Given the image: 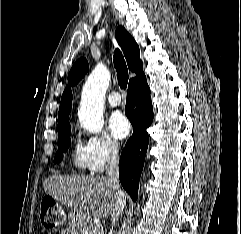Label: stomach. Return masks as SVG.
<instances>
[{
	"label": "stomach",
	"instance_id": "obj_1",
	"mask_svg": "<svg viewBox=\"0 0 241 234\" xmlns=\"http://www.w3.org/2000/svg\"><path fill=\"white\" fill-rule=\"evenodd\" d=\"M71 224L74 227H81V225H83L86 222V218L78 215L77 213H73V215L71 216Z\"/></svg>",
	"mask_w": 241,
	"mask_h": 234
}]
</instances>
